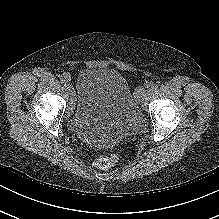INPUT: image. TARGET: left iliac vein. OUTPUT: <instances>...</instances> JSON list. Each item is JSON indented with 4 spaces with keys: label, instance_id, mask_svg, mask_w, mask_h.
Here are the masks:
<instances>
[{
    "label": "left iliac vein",
    "instance_id": "4c4485c4",
    "mask_svg": "<svg viewBox=\"0 0 219 219\" xmlns=\"http://www.w3.org/2000/svg\"><path fill=\"white\" fill-rule=\"evenodd\" d=\"M150 96V91L145 90L144 88L140 87L136 91V98L139 102L143 103L144 109H146V104Z\"/></svg>",
    "mask_w": 219,
    "mask_h": 219
}]
</instances>
